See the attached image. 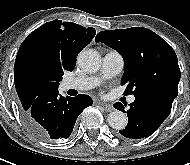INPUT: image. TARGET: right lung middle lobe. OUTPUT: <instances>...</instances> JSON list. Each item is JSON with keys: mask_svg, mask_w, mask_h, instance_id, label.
Instances as JSON below:
<instances>
[{"mask_svg": "<svg viewBox=\"0 0 190 165\" xmlns=\"http://www.w3.org/2000/svg\"><path fill=\"white\" fill-rule=\"evenodd\" d=\"M63 74L55 72L47 77H44L42 81V88L44 91L58 89L59 82L62 80Z\"/></svg>", "mask_w": 190, "mask_h": 165, "instance_id": "1", "label": "right lung middle lobe"}]
</instances>
